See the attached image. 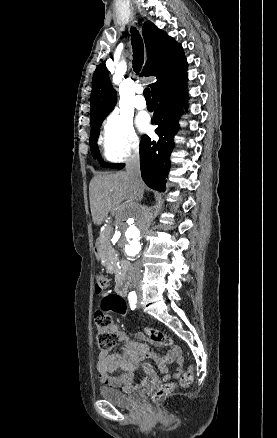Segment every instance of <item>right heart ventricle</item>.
Segmentation results:
<instances>
[{
  "label": "right heart ventricle",
  "instance_id": "obj_1",
  "mask_svg": "<svg viewBox=\"0 0 277 438\" xmlns=\"http://www.w3.org/2000/svg\"><path fill=\"white\" fill-rule=\"evenodd\" d=\"M104 154L105 157L110 161H117L120 157L117 155L115 150L113 149L110 142L107 140V138L104 140Z\"/></svg>",
  "mask_w": 277,
  "mask_h": 438
}]
</instances>
